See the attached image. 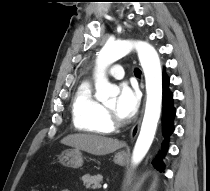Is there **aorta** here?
<instances>
[{
  "label": "aorta",
  "mask_w": 210,
  "mask_h": 191,
  "mask_svg": "<svg viewBox=\"0 0 210 191\" xmlns=\"http://www.w3.org/2000/svg\"><path fill=\"white\" fill-rule=\"evenodd\" d=\"M133 49L144 72L146 82V107L141 130L133 149L132 163L139 164L147 154L157 129L162 106V69L157 51L144 41L121 40L107 42L101 49L95 70V97L102 103L119 94V88L106 77V69Z\"/></svg>",
  "instance_id": "762f6f07"
}]
</instances>
